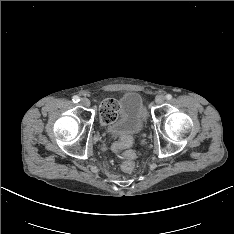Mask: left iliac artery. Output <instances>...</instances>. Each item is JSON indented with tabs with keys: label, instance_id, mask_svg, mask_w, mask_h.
Listing matches in <instances>:
<instances>
[{
	"label": "left iliac artery",
	"instance_id": "left-iliac-artery-1",
	"mask_svg": "<svg viewBox=\"0 0 234 234\" xmlns=\"http://www.w3.org/2000/svg\"><path fill=\"white\" fill-rule=\"evenodd\" d=\"M166 99H167V100L172 99V95H171V94H167V95H166Z\"/></svg>",
	"mask_w": 234,
	"mask_h": 234
}]
</instances>
